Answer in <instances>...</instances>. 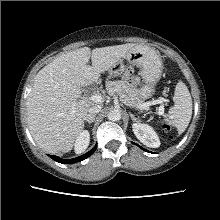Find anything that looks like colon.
Masks as SVG:
<instances>
[{
  "label": "colon",
  "instance_id": "colon-1",
  "mask_svg": "<svg viewBox=\"0 0 220 220\" xmlns=\"http://www.w3.org/2000/svg\"><path fill=\"white\" fill-rule=\"evenodd\" d=\"M166 129H167V130L169 129L168 126H166Z\"/></svg>",
  "mask_w": 220,
  "mask_h": 220
}]
</instances>
